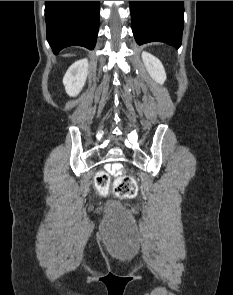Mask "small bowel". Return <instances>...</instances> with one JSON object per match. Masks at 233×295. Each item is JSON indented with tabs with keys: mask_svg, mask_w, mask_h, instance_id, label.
<instances>
[{
	"mask_svg": "<svg viewBox=\"0 0 233 295\" xmlns=\"http://www.w3.org/2000/svg\"><path fill=\"white\" fill-rule=\"evenodd\" d=\"M106 169L115 176H118L122 172V165L120 163L108 164Z\"/></svg>",
	"mask_w": 233,
	"mask_h": 295,
	"instance_id": "small-bowel-1",
	"label": "small bowel"
}]
</instances>
